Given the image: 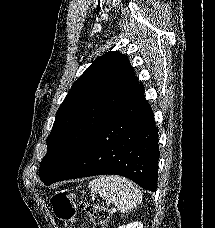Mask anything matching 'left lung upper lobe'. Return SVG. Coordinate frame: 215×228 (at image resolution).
<instances>
[{"label": "left lung upper lobe", "instance_id": "left-lung-upper-lobe-1", "mask_svg": "<svg viewBox=\"0 0 215 228\" xmlns=\"http://www.w3.org/2000/svg\"><path fill=\"white\" fill-rule=\"evenodd\" d=\"M138 86L126 55L108 52L93 61L56 113L40 179L45 183L59 176Z\"/></svg>", "mask_w": 215, "mask_h": 228}]
</instances>
